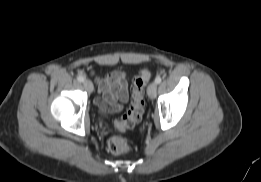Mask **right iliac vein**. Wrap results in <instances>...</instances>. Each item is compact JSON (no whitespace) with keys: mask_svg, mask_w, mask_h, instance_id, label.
Returning a JSON list of instances; mask_svg holds the SVG:
<instances>
[{"mask_svg":"<svg viewBox=\"0 0 261 182\" xmlns=\"http://www.w3.org/2000/svg\"><path fill=\"white\" fill-rule=\"evenodd\" d=\"M83 85H84L85 89H86L89 93L93 92L94 86H93V83H92L90 80H85V81L83 82Z\"/></svg>","mask_w":261,"mask_h":182,"instance_id":"obj_1","label":"right iliac vein"}]
</instances>
